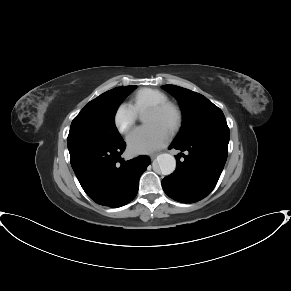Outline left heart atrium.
<instances>
[{"label": "left heart atrium", "mask_w": 291, "mask_h": 291, "mask_svg": "<svg viewBox=\"0 0 291 291\" xmlns=\"http://www.w3.org/2000/svg\"><path fill=\"white\" fill-rule=\"evenodd\" d=\"M169 141L168 131L155 124H146L131 132L127 138L128 149L134 154L150 153Z\"/></svg>", "instance_id": "1"}]
</instances>
